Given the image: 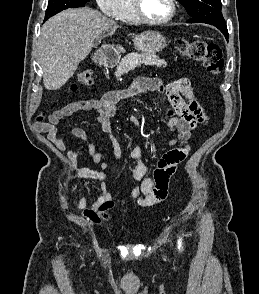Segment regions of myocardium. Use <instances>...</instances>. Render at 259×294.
Here are the masks:
<instances>
[{
  "label": "myocardium",
  "mask_w": 259,
  "mask_h": 294,
  "mask_svg": "<svg viewBox=\"0 0 259 294\" xmlns=\"http://www.w3.org/2000/svg\"><path fill=\"white\" fill-rule=\"evenodd\" d=\"M132 4V8L135 14V17L138 22L147 24V25H164L169 23L173 20L177 13V3L176 0H169L170 3V12L169 14L163 19H151L148 18L140 5V0H130Z\"/></svg>",
  "instance_id": "f54148a6"
}]
</instances>
